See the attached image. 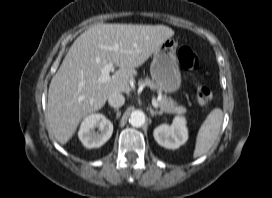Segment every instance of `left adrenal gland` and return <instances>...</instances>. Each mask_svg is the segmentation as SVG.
I'll use <instances>...</instances> for the list:
<instances>
[{"label": "left adrenal gland", "instance_id": "left-adrenal-gland-1", "mask_svg": "<svg viewBox=\"0 0 272 198\" xmlns=\"http://www.w3.org/2000/svg\"><path fill=\"white\" fill-rule=\"evenodd\" d=\"M151 116L154 117L156 115H162L161 111H154L152 108H150Z\"/></svg>", "mask_w": 272, "mask_h": 198}]
</instances>
